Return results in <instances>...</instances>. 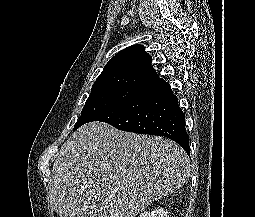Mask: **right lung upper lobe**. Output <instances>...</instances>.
Segmentation results:
<instances>
[{
	"mask_svg": "<svg viewBox=\"0 0 255 217\" xmlns=\"http://www.w3.org/2000/svg\"><path fill=\"white\" fill-rule=\"evenodd\" d=\"M158 79V74L151 65V56L145 52V47L132 45L109 60L91 90L117 85L147 87Z\"/></svg>",
	"mask_w": 255,
	"mask_h": 217,
	"instance_id": "1",
	"label": "right lung upper lobe"
}]
</instances>
